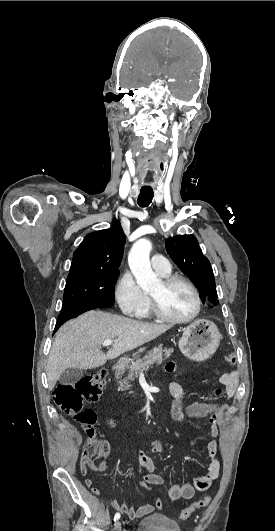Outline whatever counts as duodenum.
Masks as SVG:
<instances>
[{"label":"duodenum","instance_id":"obj_1","mask_svg":"<svg viewBox=\"0 0 275 531\" xmlns=\"http://www.w3.org/2000/svg\"><path fill=\"white\" fill-rule=\"evenodd\" d=\"M126 364H127L126 357H125V356H122V357H120V358L117 360L115 366L113 367V370H114V371H119L120 369H122L123 367H125Z\"/></svg>","mask_w":275,"mask_h":531}]
</instances>
